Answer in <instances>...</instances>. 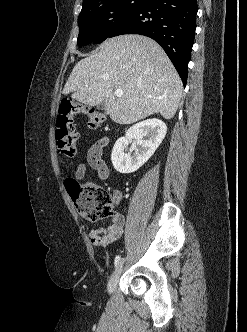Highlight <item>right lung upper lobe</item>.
Masks as SVG:
<instances>
[{
	"instance_id": "right-lung-upper-lobe-1",
	"label": "right lung upper lobe",
	"mask_w": 247,
	"mask_h": 332,
	"mask_svg": "<svg viewBox=\"0 0 247 332\" xmlns=\"http://www.w3.org/2000/svg\"><path fill=\"white\" fill-rule=\"evenodd\" d=\"M101 0H83V6H82V9H85L87 8L88 6H91L97 2H99Z\"/></svg>"
}]
</instances>
